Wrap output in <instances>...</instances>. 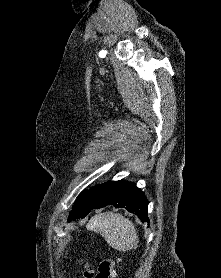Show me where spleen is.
Wrapping results in <instances>:
<instances>
[{
    "mask_svg": "<svg viewBox=\"0 0 221 278\" xmlns=\"http://www.w3.org/2000/svg\"><path fill=\"white\" fill-rule=\"evenodd\" d=\"M86 228L99 233L113 249L129 251L137 247L138 235L134 224L118 213L106 212L95 215Z\"/></svg>",
    "mask_w": 221,
    "mask_h": 278,
    "instance_id": "spleen-1",
    "label": "spleen"
}]
</instances>
